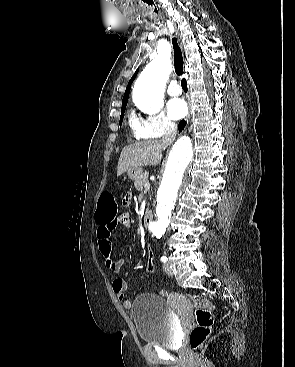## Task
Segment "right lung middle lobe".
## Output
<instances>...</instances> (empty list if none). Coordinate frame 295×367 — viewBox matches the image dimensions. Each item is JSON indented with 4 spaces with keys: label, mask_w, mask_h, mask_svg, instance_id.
Masks as SVG:
<instances>
[{
    "label": "right lung middle lobe",
    "mask_w": 295,
    "mask_h": 367,
    "mask_svg": "<svg viewBox=\"0 0 295 367\" xmlns=\"http://www.w3.org/2000/svg\"><path fill=\"white\" fill-rule=\"evenodd\" d=\"M126 105H122V109H121V116H120V124L122 123V119H123V116H124V112H125V109H126Z\"/></svg>",
    "instance_id": "1"
}]
</instances>
